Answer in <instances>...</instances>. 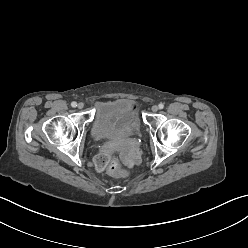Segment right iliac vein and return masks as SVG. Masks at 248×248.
<instances>
[{"mask_svg": "<svg viewBox=\"0 0 248 248\" xmlns=\"http://www.w3.org/2000/svg\"><path fill=\"white\" fill-rule=\"evenodd\" d=\"M77 107H78L79 109H83V108H84V104H83L82 102H80V103L77 105Z\"/></svg>", "mask_w": 248, "mask_h": 248, "instance_id": "right-iliac-vein-1", "label": "right iliac vein"}]
</instances>
